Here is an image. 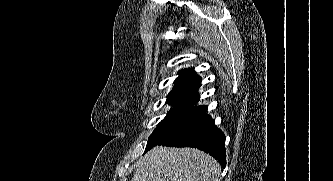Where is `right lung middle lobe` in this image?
Here are the masks:
<instances>
[{
  "label": "right lung middle lobe",
  "instance_id": "right-lung-middle-lobe-1",
  "mask_svg": "<svg viewBox=\"0 0 333 181\" xmlns=\"http://www.w3.org/2000/svg\"><path fill=\"white\" fill-rule=\"evenodd\" d=\"M206 116L204 110L173 108L150 135L145 151L156 145L172 143L197 126Z\"/></svg>",
  "mask_w": 333,
  "mask_h": 181
}]
</instances>
